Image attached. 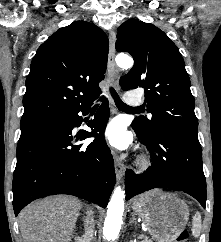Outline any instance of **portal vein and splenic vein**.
<instances>
[{
    "instance_id": "portal-vein-and-splenic-vein-1",
    "label": "portal vein and splenic vein",
    "mask_w": 221,
    "mask_h": 242,
    "mask_svg": "<svg viewBox=\"0 0 221 242\" xmlns=\"http://www.w3.org/2000/svg\"><path fill=\"white\" fill-rule=\"evenodd\" d=\"M144 235H141L140 238H143Z\"/></svg>"
}]
</instances>
